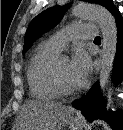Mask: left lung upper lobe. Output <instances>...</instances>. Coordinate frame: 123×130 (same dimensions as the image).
<instances>
[{"mask_svg": "<svg viewBox=\"0 0 123 130\" xmlns=\"http://www.w3.org/2000/svg\"><path fill=\"white\" fill-rule=\"evenodd\" d=\"M104 6L111 14L117 9L112 0H86ZM66 6H54L38 14L30 23L24 39L23 53L43 33L53 28L63 17Z\"/></svg>", "mask_w": 123, "mask_h": 130, "instance_id": "obj_1", "label": "left lung upper lobe"}]
</instances>
